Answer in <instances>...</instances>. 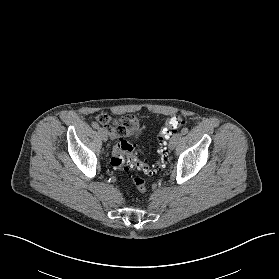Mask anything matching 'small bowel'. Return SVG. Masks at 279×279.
Masks as SVG:
<instances>
[{"label":"small bowel","mask_w":279,"mask_h":279,"mask_svg":"<svg viewBox=\"0 0 279 279\" xmlns=\"http://www.w3.org/2000/svg\"><path fill=\"white\" fill-rule=\"evenodd\" d=\"M96 120L107 128L111 139H118L133 132H140V127L135 116L127 114L118 120H112L107 114L96 115Z\"/></svg>","instance_id":"1"}]
</instances>
